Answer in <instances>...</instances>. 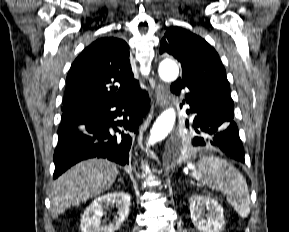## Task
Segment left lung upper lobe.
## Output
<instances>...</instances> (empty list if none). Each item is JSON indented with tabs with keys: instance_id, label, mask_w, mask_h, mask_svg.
<instances>
[{
	"instance_id": "left-lung-upper-lobe-1",
	"label": "left lung upper lobe",
	"mask_w": 289,
	"mask_h": 232,
	"mask_svg": "<svg viewBox=\"0 0 289 232\" xmlns=\"http://www.w3.org/2000/svg\"><path fill=\"white\" fill-rule=\"evenodd\" d=\"M160 54H169L180 61L182 78L176 83L191 90L204 91L233 104L230 86L217 52L201 37L181 27H172L161 40ZM186 149L189 135L180 137Z\"/></svg>"
}]
</instances>
